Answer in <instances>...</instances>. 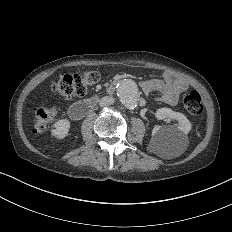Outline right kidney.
Instances as JSON below:
<instances>
[{"label": "right kidney", "instance_id": "ca27d5eb", "mask_svg": "<svg viewBox=\"0 0 232 232\" xmlns=\"http://www.w3.org/2000/svg\"><path fill=\"white\" fill-rule=\"evenodd\" d=\"M70 122L68 119L58 120L52 129V135L58 139H63L69 132Z\"/></svg>", "mask_w": 232, "mask_h": 232}]
</instances>
